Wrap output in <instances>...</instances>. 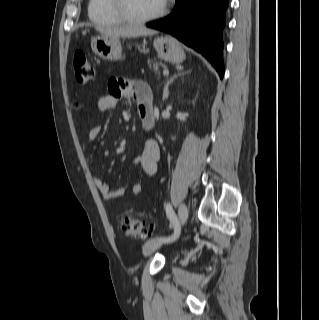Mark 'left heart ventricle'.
<instances>
[{
  "mask_svg": "<svg viewBox=\"0 0 319 320\" xmlns=\"http://www.w3.org/2000/svg\"><path fill=\"white\" fill-rule=\"evenodd\" d=\"M162 5L160 0H127L129 11L138 17L149 16L158 11Z\"/></svg>",
  "mask_w": 319,
  "mask_h": 320,
  "instance_id": "obj_1",
  "label": "left heart ventricle"
}]
</instances>
